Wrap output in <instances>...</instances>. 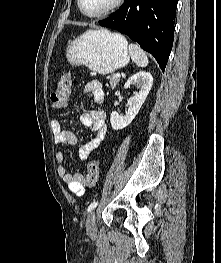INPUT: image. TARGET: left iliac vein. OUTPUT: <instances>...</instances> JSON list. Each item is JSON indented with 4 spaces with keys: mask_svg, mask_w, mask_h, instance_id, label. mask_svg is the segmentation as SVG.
<instances>
[{
    "mask_svg": "<svg viewBox=\"0 0 221 263\" xmlns=\"http://www.w3.org/2000/svg\"><path fill=\"white\" fill-rule=\"evenodd\" d=\"M86 227H87V231L89 233H95L96 232L97 226H96V214H95V211H92L88 215Z\"/></svg>",
    "mask_w": 221,
    "mask_h": 263,
    "instance_id": "obj_1",
    "label": "left iliac vein"
}]
</instances>
